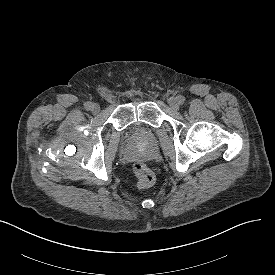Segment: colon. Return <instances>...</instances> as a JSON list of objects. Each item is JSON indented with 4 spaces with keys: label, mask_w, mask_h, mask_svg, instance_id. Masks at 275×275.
I'll list each match as a JSON object with an SVG mask.
<instances>
[{
    "label": "colon",
    "mask_w": 275,
    "mask_h": 275,
    "mask_svg": "<svg viewBox=\"0 0 275 275\" xmlns=\"http://www.w3.org/2000/svg\"><path fill=\"white\" fill-rule=\"evenodd\" d=\"M133 171L137 178V188L146 189L153 185L155 181L154 172L144 162H136L133 165Z\"/></svg>",
    "instance_id": "1"
}]
</instances>
